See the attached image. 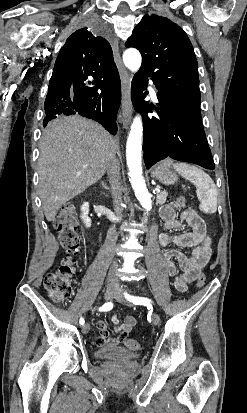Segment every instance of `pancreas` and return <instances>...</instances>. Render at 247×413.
<instances>
[{
	"label": "pancreas",
	"instance_id": "1",
	"mask_svg": "<svg viewBox=\"0 0 247 413\" xmlns=\"http://www.w3.org/2000/svg\"><path fill=\"white\" fill-rule=\"evenodd\" d=\"M167 194L168 192H166V190L157 194L156 204H164V202H166Z\"/></svg>",
	"mask_w": 247,
	"mask_h": 413
}]
</instances>
